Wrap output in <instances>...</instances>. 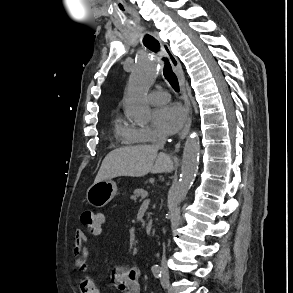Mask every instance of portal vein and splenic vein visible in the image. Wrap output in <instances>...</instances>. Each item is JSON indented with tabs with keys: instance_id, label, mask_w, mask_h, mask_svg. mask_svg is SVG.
Masks as SVG:
<instances>
[{
	"instance_id": "18ae733b",
	"label": "portal vein and splenic vein",
	"mask_w": 293,
	"mask_h": 293,
	"mask_svg": "<svg viewBox=\"0 0 293 293\" xmlns=\"http://www.w3.org/2000/svg\"><path fill=\"white\" fill-rule=\"evenodd\" d=\"M147 196H148V192H145V193L141 196V198L144 199V198H146Z\"/></svg>"
}]
</instances>
